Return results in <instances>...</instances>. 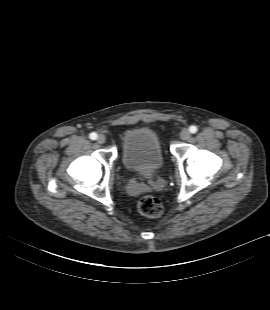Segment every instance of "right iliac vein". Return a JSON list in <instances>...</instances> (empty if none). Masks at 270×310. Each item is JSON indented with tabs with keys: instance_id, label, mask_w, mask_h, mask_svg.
I'll return each instance as SVG.
<instances>
[{
	"instance_id": "63e3f726",
	"label": "right iliac vein",
	"mask_w": 270,
	"mask_h": 310,
	"mask_svg": "<svg viewBox=\"0 0 270 310\" xmlns=\"http://www.w3.org/2000/svg\"><path fill=\"white\" fill-rule=\"evenodd\" d=\"M97 142L99 144H103L106 142V137L104 135H99L98 138H97Z\"/></svg>"
}]
</instances>
